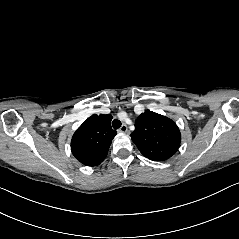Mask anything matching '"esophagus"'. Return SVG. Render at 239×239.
<instances>
[{"label": "esophagus", "instance_id": "1", "mask_svg": "<svg viewBox=\"0 0 239 239\" xmlns=\"http://www.w3.org/2000/svg\"><path fill=\"white\" fill-rule=\"evenodd\" d=\"M118 131L121 132V133H126V132L128 131L127 125H126V124H123V125L119 128Z\"/></svg>", "mask_w": 239, "mask_h": 239}]
</instances>
